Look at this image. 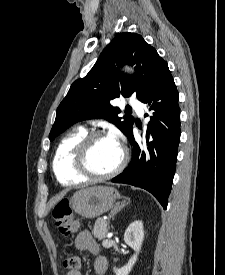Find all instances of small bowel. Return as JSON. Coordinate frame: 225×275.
<instances>
[{"instance_id":"c3829d8e","label":"small bowel","mask_w":225,"mask_h":275,"mask_svg":"<svg viewBox=\"0 0 225 275\" xmlns=\"http://www.w3.org/2000/svg\"><path fill=\"white\" fill-rule=\"evenodd\" d=\"M75 247L94 256L93 272L95 275H105L108 261L105 257L98 255V246L92 234L88 231L80 232L75 239ZM66 275H82L80 271H69Z\"/></svg>"}]
</instances>
